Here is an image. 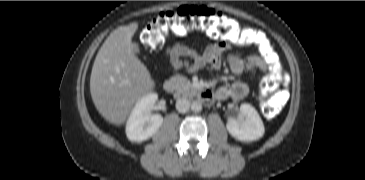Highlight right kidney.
<instances>
[{"label": "right kidney", "instance_id": "obj_1", "mask_svg": "<svg viewBox=\"0 0 365 180\" xmlns=\"http://www.w3.org/2000/svg\"><path fill=\"white\" fill-rule=\"evenodd\" d=\"M157 99L156 93H149L135 104L126 125V135L130 141H145L159 130L163 117L150 113Z\"/></svg>", "mask_w": 365, "mask_h": 180}]
</instances>
